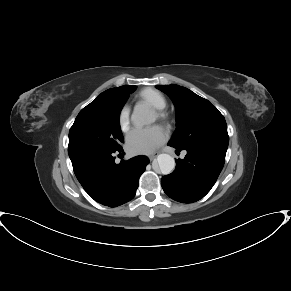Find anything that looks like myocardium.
Here are the masks:
<instances>
[{"label":"myocardium","mask_w":291,"mask_h":291,"mask_svg":"<svg viewBox=\"0 0 291 291\" xmlns=\"http://www.w3.org/2000/svg\"><path fill=\"white\" fill-rule=\"evenodd\" d=\"M156 118L161 121H165L167 119V114L162 110L155 109Z\"/></svg>","instance_id":"1"}]
</instances>
